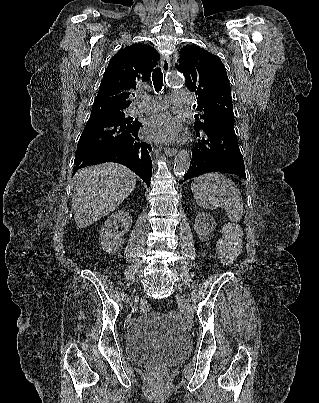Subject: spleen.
Instances as JSON below:
<instances>
[{
    "label": "spleen",
    "mask_w": 319,
    "mask_h": 403,
    "mask_svg": "<svg viewBox=\"0 0 319 403\" xmlns=\"http://www.w3.org/2000/svg\"><path fill=\"white\" fill-rule=\"evenodd\" d=\"M191 189L196 203L206 209L221 207L232 222H239L244 205L235 183L225 175L212 172L195 178Z\"/></svg>",
    "instance_id": "3e777b00"
}]
</instances>
